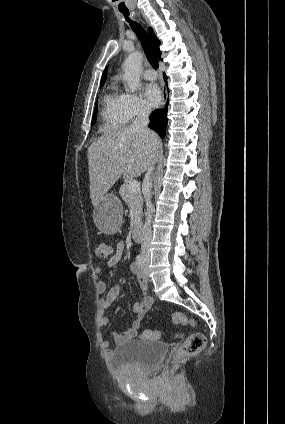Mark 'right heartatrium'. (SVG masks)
Here are the masks:
<instances>
[{
	"label": "right heart atrium",
	"mask_w": 285,
	"mask_h": 424,
	"mask_svg": "<svg viewBox=\"0 0 285 424\" xmlns=\"http://www.w3.org/2000/svg\"><path fill=\"white\" fill-rule=\"evenodd\" d=\"M122 98L127 122H131L150 113V106L140 95L124 93Z\"/></svg>",
	"instance_id": "right-heart-atrium-1"
}]
</instances>
